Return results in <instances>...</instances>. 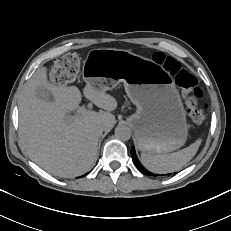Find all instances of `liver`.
Here are the masks:
<instances>
[{"label": "liver", "mask_w": 231, "mask_h": 231, "mask_svg": "<svg viewBox=\"0 0 231 231\" xmlns=\"http://www.w3.org/2000/svg\"><path fill=\"white\" fill-rule=\"evenodd\" d=\"M46 67L36 71L19 100V131L29 157L48 173L71 178L88 172L98 157V141L103 131L115 124L110 113L117 108L116 99L105 91L83 88L84 96L99 112L80 107L82 95L76 86L52 84ZM45 88L51 100L37 96ZM74 112L73 116H67Z\"/></svg>", "instance_id": "liver-1"}]
</instances>
